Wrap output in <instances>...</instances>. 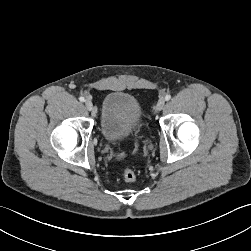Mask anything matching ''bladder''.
I'll return each mask as SVG.
<instances>
[{
    "label": "bladder",
    "instance_id": "obj_1",
    "mask_svg": "<svg viewBox=\"0 0 251 251\" xmlns=\"http://www.w3.org/2000/svg\"><path fill=\"white\" fill-rule=\"evenodd\" d=\"M99 126L106 141L114 143L126 140L144 127L140 102L125 92L108 93L102 101Z\"/></svg>",
    "mask_w": 251,
    "mask_h": 251
}]
</instances>
